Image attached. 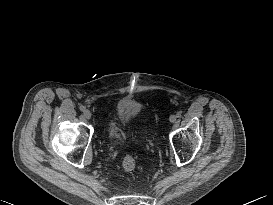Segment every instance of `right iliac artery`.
I'll use <instances>...</instances> for the list:
<instances>
[{
  "mask_svg": "<svg viewBox=\"0 0 273 205\" xmlns=\"http://www.w3.org/2000/svg\"><path fill=\"white\" fill-rule=\"evenodd\" d=\"M79 109H80L81 111H84V110H85V107H84L83 105H80V106H79Z\"/></svg>",
  "mask_w": 273,
  "mask_h": 205,
  "instance_id": "1",
  "label": "right iliac artery"
}]
</instances>
